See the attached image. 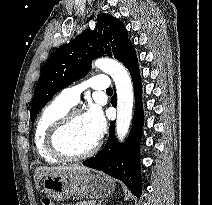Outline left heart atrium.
<instances>
[{"mask_svg": "<svg viewBox=\"0 0 212 205\" xmlns=\"http://www.w3.org/2000/svg\"><path fill=\"white\" fill-rule=\"evenodd\" d=\"M82 117L92 135L97 140L100 139L106 128V121L102 112L97 107H91Z\"/></svg>", "mask_w": 212, "mask_h": 205, "instance_id": "39dd6f15", "label": "left heart atrium"}]
</instances>
